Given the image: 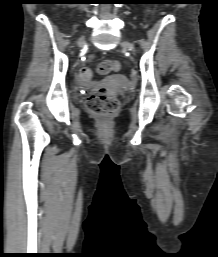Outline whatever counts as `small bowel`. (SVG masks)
<instances>
[{
    "mask_svg": "<svg viewBox=\"0 0 218 257\" xmlns=\"http://www.w3.org/2000/svg\"><path fill=\"white\" fill-rule=\"evenodd\" d=\"M74 78H77V73H74ZM76 84H78L77 79H76Z\"/></svg>",
    "mask_w": 218,
    "mask_h": 257,
    "instance_id": "small-bowel-1",
    "label": "small bowel"
}]
</instances>
